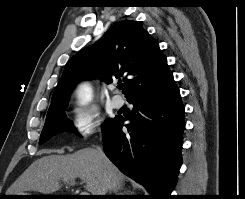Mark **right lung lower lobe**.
<instances>
[{
  "instance_id": "98d812e1",
  "label": "right lung lower lobe",
  "mask_w": 245,
  "mask_h": 199,
  "mask_svg": "<svg viewBox=\"0 0 245 199\" xmlns=\"http://www.w3.org/2000/svg\"><path fill=\"white\" fill-rule=\"evenodd\" d=\"M130 123L116 116L103 129L106 156L127 176L142 184L151 199H171L182 163L184 107L174 80L130 98Z\"/></svg>"
}]
</instances>
